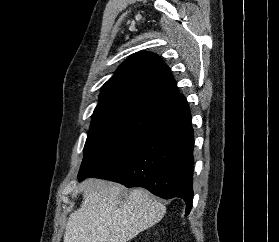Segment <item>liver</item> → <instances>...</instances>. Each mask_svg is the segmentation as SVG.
<instances>
[{
	"label": "liver",
	"instance_id": "obj_1",
	"mask_svg": "<svg viewBox=\"0 0 279 242\" xmlns=\"http://www.w3.org/2000/svg\"><path fill=\"white\" fill-rule=\"evenodd\" d=\"M84 186L81 208L70 214L64 242H128L165 215V205L144 189L127 193L100 179H89Z\"/></svg>",
	"mask_w": 279,
	"mask_h": 242
}]
</instances>
